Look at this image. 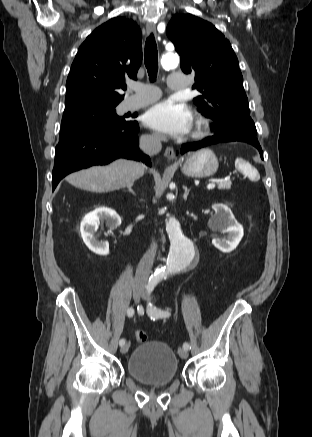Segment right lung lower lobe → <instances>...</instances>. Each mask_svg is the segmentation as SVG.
Here are the masks:
<instances>
[{"label":"right lung lower lobe","mask_w":312,"mask_h":437,"mask_svg":"<svg viewBox=\"0 0 312 437\" xmlns=\"http://www.w3.org/2000/svg\"><path fill=\"white\" fill-rule=\"evenodd\" d=\"M136 121L101 128L58 143L52 172V189L74 171L92 165H105L116 158L141 160L152 166L150 157L138 147Z\"/></svg>","instance_id":"1"}]
</instances>
